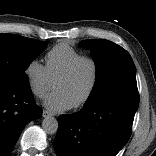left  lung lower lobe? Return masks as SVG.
<instances>
[{
	"label": "left lung lower lobe",
	"mask_w": 156,
	"mask_h": 156,
	"mask_svg": "<svg viewBox=\"0 0 156 156\" xmlns=\"http://www.w3.org/2000/svg\"><path fill=\"white\" fill-rule=\"evenodd\" d=\"M139 101L108 98L60 115L53 142L57 156H116L130 138Z\"/></svg>",
	"instance_id": "obj_1"
}]
</instances>
